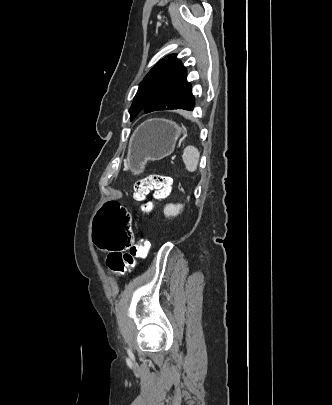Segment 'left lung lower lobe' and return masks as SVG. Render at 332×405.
Here are the masks:
<instances>
[{
    "instance_id": "0a47b994",
    "label": "left lung lower lobe",
    "mask_w": 332,
    "mask_h": 405,
    "mask_svg": "<svg viewBox=\"0 0 332 405\" xmlns=\"http://www.w3.org/2000/svg\"><path fill=\"white\" fill-rule=\"evenodd\" d=\"M144 111H145V113L152 112V111H150V108H148V109H147V108H145V110H144Z\"/></svg>"
}]
</instances>
